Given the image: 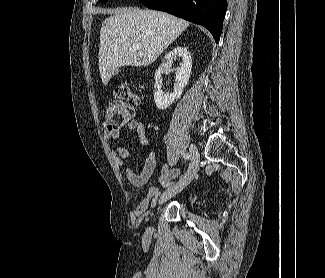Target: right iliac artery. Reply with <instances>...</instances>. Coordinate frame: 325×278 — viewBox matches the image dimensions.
I'll list each match as a JSON object with an SVG mask.
<instances>
[{
	"instance_id": "right-iliac-artery-1",
	"label": "right iliac artery",
	"mask_w": 325,
	"mask_h": 278,
	"mask_svg": "<svg viewBox=\"0 0 325 278\" xmlns=\"http://www.w3.org/2000/svg\"><path fill=\"white\" fill-rule=\"evenodd\" d=\"M182 156H183V158L186 159V160H190V159H191L190 154L187 153V152H182ZM170 184H172V183H168V184H166L165 187L169 186Z\"/></svg>"
}]
</instances>
